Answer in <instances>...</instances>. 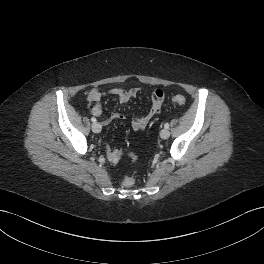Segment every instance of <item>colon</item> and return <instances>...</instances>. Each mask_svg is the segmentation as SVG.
Listing matches in <instances>:
<instances>
[{"label":"colon","mask_w":264,"mask_h":264,"mask_svg":"<svg viewBox=\"0 0 264 264\" xmlns=\"http://www.w3.org/2000/svg\"><path fill=\"white\" fill-rule=\"evenodd\" d=\"M92 94L89 96V99H93L94 94H96L95 91H91ZM172 101L178 105H184L186 103V98L183 95L180 94H176L172 97ZM108 153L111 155L112 158H118V157H122V152L120 154H116L114 151L109 150ZM130 157L135 160L136 159V155L131 153ZM135 180L132 176H127L124 181H123V186L124 187H131L133 186Z\"/></svg>","instance_id":"colon-1"}]
</instances>
